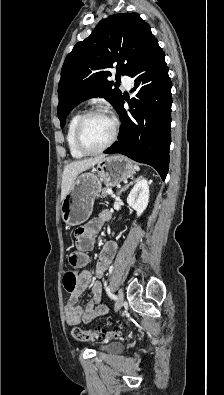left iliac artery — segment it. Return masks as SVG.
Returning <instances> with one entry per match:
<instances>
[{"label": "left iliac artery", "instance_id": "1", "mask_svg": "<svg viewBox=\"0 0 224 395\" xmlns=\"http://www.w3.org/2000/svg\"><path fill=\"white\" fill-rule=\"evenodd\" d=\"M105 289H106V292H107L108 296H109L111 299L117 300V296L114 295V294L111 292V290H110V288L107 286V283H106V282H105Z\"/></svg>", "mask_w": 224, "mask_h": 395}]
</instances>
